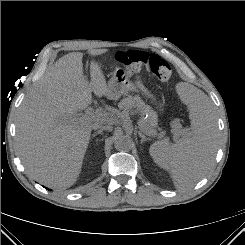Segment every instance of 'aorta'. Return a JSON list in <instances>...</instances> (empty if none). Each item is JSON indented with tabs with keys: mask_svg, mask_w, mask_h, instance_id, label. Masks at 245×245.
I'll return each mask as SVG.
<instances>
[{
	"mask_svg": "<svg viewBox=\"0 0 245 245\" xmlns=\"http://www.w3.org/2000/svg\"><path fill=\"white\" fill-rule=\"evenodd\" d=\"M114 147L118 151H129L132 147V139L127 135H119L114 141Z\"/></svg>",
	"mask_w": 245,
	"mask_h": 245,
	"instance_id": "aorta-1",
	"label": "aorta"
}]
</instances>
